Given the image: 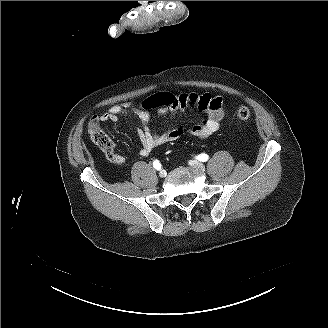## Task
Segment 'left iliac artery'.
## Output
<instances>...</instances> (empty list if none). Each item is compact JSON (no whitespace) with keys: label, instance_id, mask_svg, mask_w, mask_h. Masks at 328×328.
Masks as SVG:
<instances>
[{"label":"left iliac artery","instance_id":"44dca946","mask_svg":"<svg viewBox=\"0 0 328 328\" xmlns=\"http://www.w3.org/2000/svg\"><path fill=\"white\" fill-rule=\"evenodd\" d=\"M208 155L205 153H202L196 157L199 161L206 162L208 160Z\"/></svg>","mask_w":328,"mask_h":328}]
</instances>
